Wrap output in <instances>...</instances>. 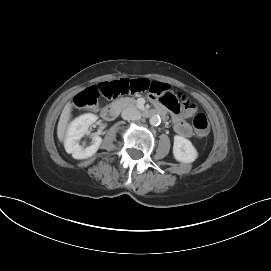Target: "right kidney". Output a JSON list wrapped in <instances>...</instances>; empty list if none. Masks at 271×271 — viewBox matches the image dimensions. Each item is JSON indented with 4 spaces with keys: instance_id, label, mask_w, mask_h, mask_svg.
I'll list each match as a JSON object with an SVG mask.
<instances>
[{
    "instance_id": "ca27d5eb",
    "label": "right kidney",
    "mask_w": 271,
    "mask_h": 271,
    "mask_svg": "<svg viewBox=\"0 0 271 271\" xmlns=\"http://www.w3.org/2000/svg\"><path fill=\"white\" fill-rule=\"evenodd\" d=\"M96 120V115L87 113L77 117L70 123L64 146L66 152L72 154L74 159H87L99 149L102 138L96 134L92 135V144L90 146L84 147L79 144L80 139L89 133V126Z\"/></svg>"
}]
</instances>
